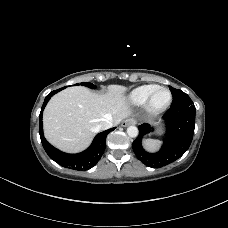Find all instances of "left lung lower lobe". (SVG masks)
Here are the masks:
<instances>
[{"label": "left lung lower lobe", "instance_id": "0a47b994", "mask_svg": "<svg viewBox=\"0 0 228 228\" xmlns=\"http://www.w3.org/2000/svg\"><path fill=\"white\" fill-rule=\"evenodd\" d=\"M195 112L189 96L174 98L171 107L164 114L166 138L157 153H148L142 147L143 137L153 131L149 124L138 126L139 136L134 140L132 148L137 158L145 165L160 168L179 159L189 148L195 128Z\"/></svg>", "mask_w": 228, "mask_h": 228}]
</instances>
